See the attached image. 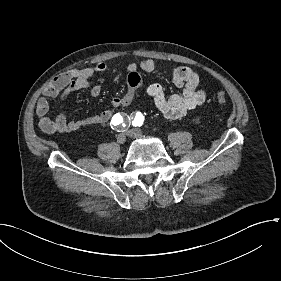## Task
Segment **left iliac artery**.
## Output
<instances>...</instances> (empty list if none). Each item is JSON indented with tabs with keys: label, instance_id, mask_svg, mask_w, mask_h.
I'll return each instance as SVG.
<instances>
[{
	"label": "left iliac artery",
	"instance_id": "left-iliac-artery-1",
	"mask_svg": "<svg viewBox=\"0 0 281 281\" xmlns=\"http://www.w3.org/2000/svg\"><path fill=\"white\" fill-rule=\"evenodd\" d=\"M144 121V116L141 112H136L134 115H131V123L133 126H141Z\"/></svg>",
	"mask_w": 281,
	"mask_h": 281
}]
</instances>
